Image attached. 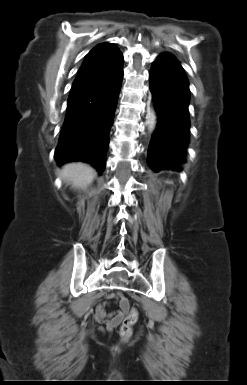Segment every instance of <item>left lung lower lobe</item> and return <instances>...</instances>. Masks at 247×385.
<instances>
[{"mask_svg":"<svg viewBox=\"0 0 247 385\" xmlns=\"http://www.w3.org/2000/svg\"><path fill=\"white\" fill-rule=\"evenodd\" d=\"M149 86L158 116L148 149L149 166L178 169L185 162L190 129L189 83L179 61L171 54H161L153 62Z\"/></svg>","mask_w":247,"mask_h":385,"instance_id":"left-lung-lower-lobe-1","label":"left lung lower lobe"}]
</instances>
